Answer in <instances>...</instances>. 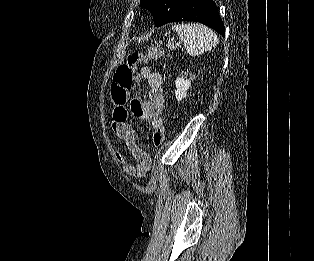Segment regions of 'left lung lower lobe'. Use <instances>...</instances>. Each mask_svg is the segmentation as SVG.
<instances>
[{
    "instance_id": "0a47b994",
    "label": "left lung lower lobe",
    "mask_w": 314,
    "mask_h": 261,
    "mask_svg": "<svg viewBox=\"0 0 314 261\" xmlns=\"http://www.w3.org/2000/svg\"><path fill=\"white\" fill-rule=\"evenodd\" d=\"M196 21L225 34L224 24L213 0H184L169 22Z\"/></svg>"
}]
</instances>
